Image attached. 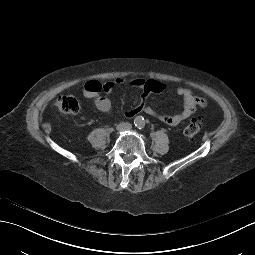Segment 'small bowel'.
I'll return each mask as SVG.
<instances>
[{"mask_svg": "<svg viewBox=\"0 0 255 255\" xmlns=\"http://www.w3.org/2000/svg\"><path fill=\"white\" fill-rule=\"evenodd\" d=\"M121 86L138 88L143 92L141 103L137 107L126 111V116L129 118L144 112L164 124L176 126L190 117L198 107L204 108L206 106V101L203 98L197 97L191 89L179 86L176 89V94L183 99L182 111L174 115H165L155 112L145 101L151 93L163 92L165 90V85L154 79L133 78L124 80L118 78L106 83L90 80L85 83L82 89V94L86 98L93 99L94 104L99 111L106 115H110L112 113V103L107 97L103 96L102 93L110 92Z\"/></svg>", "mask_w": 255, "mask_h": 255, "instance_id": "1", "label": "small bowel"}]
</instances>
